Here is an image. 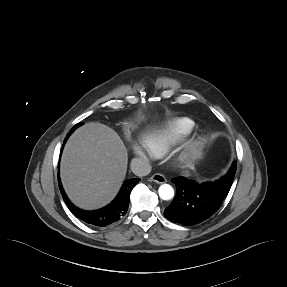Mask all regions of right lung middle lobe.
Instances as JSON below:
<instances>
[{
	"mask_svg": "<svg viewBox=\"0 0 287 287\" xmlns=\"http://www.w3.org/2000/svg\"><path fill=\"white\" fill-rule=\"evenodd\" d=\"M83 123L81 122V123H78V124H76L70 131H73L74 129H76L78 126H80V125H82Z\"/></svg>",
	"mask_w": 287,
	"mask_h": 287,
	"instance_id": "1",
	"label": "right lung middle lobe"
}]
</instances>
